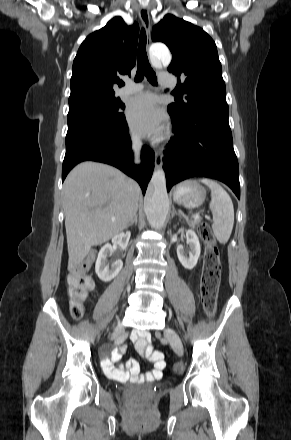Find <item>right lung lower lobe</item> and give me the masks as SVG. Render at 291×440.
Instances as JSON below:
<instances>
[{
    "mask_svg": "<svg viewBox=\"0 0 291 440\" xmlns=\"http://www.w3.org/2000/svg\"><path fill=\"white\" fill-rule=\"evenodd\" d=\"M141 159L140 166L133 164L131 141L124 115L111 122L90 116L68 118L62 181L75 165L92 160L119 168L134 178L145 194L154 169L153 151L144 146Z\"/></svg>",
    "mask_w": 291,
    "mask_h": 440,
    "instance_id": "1",
    "label": "right lung lower lobe"
}]
</instances>
